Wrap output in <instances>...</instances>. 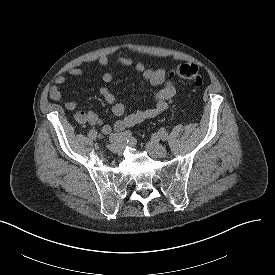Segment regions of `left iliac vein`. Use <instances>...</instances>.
I'll list each match as a JSON object with an SVG mask.
<instances>
[{"instance_id": "1", "label": "left iliac vein", "mask_w": 275, "mask_h": 275, "mask_svg": "<svg viewBox=\"0 0 275 275\" xmlns=\"http://www.w3.org/2000/svg\"><path fill=\"white\" fill-rule=\"evenodd\" d=\"M145 148L151 156L156 158H163L167 155V150L157 140L149 141Z\"/></svg>"}]
</instances>
